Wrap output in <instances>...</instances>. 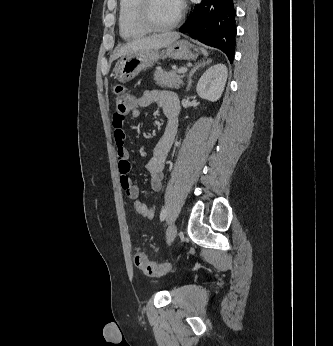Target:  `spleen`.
Segmentation results:
<instances>
[{"instance_id":"obj_1","label":"spleen","mask_w":333,"mask_h":346,"mask_svg":"<svg viewBox=\"0 0 333 346\" xmlns=\"http://www.w3.org/2000/svg\"><path fill=\"white\" fill-rule=\"evenodd\" d=\"M201 51H202L203 55H205V56L208 55V52L205 49L202 48Z\"/></svg>"}]
</instances>
